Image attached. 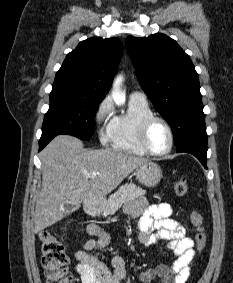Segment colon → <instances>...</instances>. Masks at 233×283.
Segmentation results:
<instances>
[{"mask_svg":"<svg viewBox=\"0 0 233 283\" xmlns=\"http://www.w3.org/2000/svg\"><path fill=\"white\" fill-rule=\"evenodd\" d=\"M173 189L179 196L188 191L186 180L180 179L174 182ZM190 220L195 228L196 252H201L206 245V233L202 215L193 211ZM41 245V265L47 279V283H73V276L69 271L68 257L63 244L50 232L44 231L39 236Z\"/></svg>","mask_w":233,"mask_h":283,"instance_id":"colon-1","label":"colon"}]
</instances>
